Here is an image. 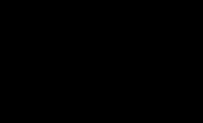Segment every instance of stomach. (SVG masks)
Listing matches in <instances>:
<instances>
[{"instance_id":"stomach-1","label":"stomach","mask_w":203,"mask_h":123,"mask_svg":"<svg viewBox=\"0 0 203 123\" xmlns=\"http://www.w3.org/2000/svg\"><path fill=\"white\" fill-rule=\"evenodd\" d=\"M119 23H120V21L118 19H113V20L107 22L105 25H103L101 30L104 32L112 31L119 25Z\"/></svg>"}]
</instances>
